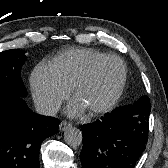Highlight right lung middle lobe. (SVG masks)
Here are the masks:
<instances>
[{
	"label": "right lung middle lobe",
	"instance_id": "right-lung-middle-lobe-1",
	"mask_svg": "<svg viewBox=\"0 0 168 168\" xmlns=\"http://www.w3.org/2000/svg\"><path fill=\"white\" fill-rule=\"evenodd\" d=\"M24 50L12 49L0 53V93L20 97L27 95L21 79V68L26 61Z\"/></svg>",
	"mask_w": 168,
	"mask_h": 168
}]
</instances>
